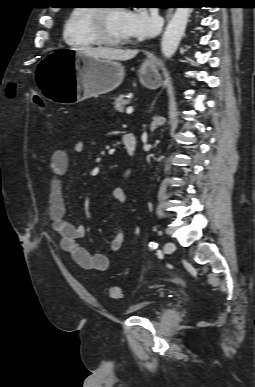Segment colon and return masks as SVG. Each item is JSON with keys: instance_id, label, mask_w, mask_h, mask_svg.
Returning a JSON list of instances; mask_svg holds the SVG:
<instances>
[{"instance_id": "obj_1", "label": "colon", "mask_w": 255, "mask_h": 387, "mask_svg": "<svg viewBox=\"0 0 255 387\" xmlns=\"http://www.w3.org/2000/svg\"><path fill=\"white\" fill-rule=\"evenodd\" d=\"M18 88H19L18 84L14 83V82L9 83L6 87V90H5L6 97L8 99H14L16 94H17ZM32 96H33L34 102L39 107L44 106L43 101L40 97H38L35 93H32ZM108 295L112 299H119L122 296V290L119 286H115V285L109 286L108 287Z\"/></svg>"}]
</instances>
